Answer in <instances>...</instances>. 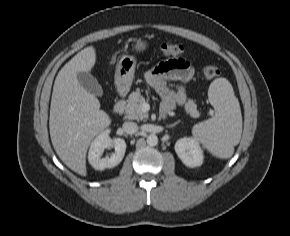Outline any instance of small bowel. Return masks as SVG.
Listing matches in <instances>:
<instances>
[{
	"label": "small bowel",
	"instance_id": "obj_1",
	"mask_svg": "<svg viewBox=\"0 0 290 236\" xmlns=\"http://www.w3.org/2000/svg\"><path fill=\"white\" fill-rule=\"evenodd\" d=\"M194 75V69L182 59L165 60L146 75L147 83L161 96V112L166 115L177 106H183L187 101L185 83ZM170 81H178L176 89L169 86Z\"/></svg>",
	"mask_w": 290,
	"mask_h": 236
}]
</instances>
